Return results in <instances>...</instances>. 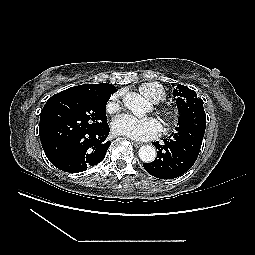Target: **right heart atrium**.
<instances>
[{"mask_svg": "<svg viewBox=\"0 0 255 255\" xmlns=\"http://www.w3.org/2000/svg\"><path fill=\"white\" fill-rule=\"evenodd\" d=\"M120 104L118 101V94H114L106 104V111L110 114L118 112Z\"/></svg>", "mask_w": 255, "mask_h": 255, "instance_id": "1", "label": "right heart atrium"}]
</instances>
